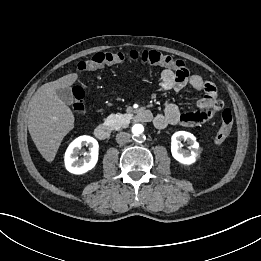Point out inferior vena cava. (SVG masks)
<instances>
[{
  "mask_svg": "<svg viewBox=\"0 0 261 261\" xmlns=\"http://www.w3.org/2000/svg\"><path fill=\"white\" fill-rule=\"evenodd\" d=\"M130 140V134L127 132H120L116 135V141L118 144H126Z\"/></svg>",
  "mask_w": 261,
  "mask_h": 261,
  "instance_id": "1",
  "label": "inferior vena cava"
}]
</instances>
